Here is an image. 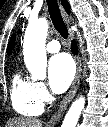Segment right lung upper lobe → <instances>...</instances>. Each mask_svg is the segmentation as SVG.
<instances>
[{
    "label": "right lung upper lobe",
    "instance_id": "1",
    "mask_svg": "<svg viewBox=\"0 0 108 127\" xmlns=\"http://www.w3.org/2000/svg\"><path fill=\"white\" fill-rule=\"evenodd\" d=\"M62 4H63L64 8L66 9V11L69 12V8H70V7H69L68 2H67L66 0H62ZM14 43H15V36L13 35L12 38H11V41H10V43H9V45H8V49H7V53H8V54L11 53V49L13 48Z\"/></svg>",
    "mask_w": 108,
    "mask_h": 127
}]
</instances>
